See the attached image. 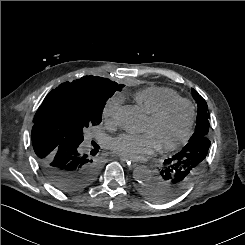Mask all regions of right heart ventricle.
Segmentation results:
<instances>
[{
	"label": "right heart ventricle",
	"mask_w": 245,
	"mask_h": 245,
	"mask_svg": "<svg viewBox=\"0 0 245 245\" xmlns=\"http://www.w3.org/2000/svg\"><path fill=\"white\" fill-rule=\"evenodd\" d=\"M177 98H180V95L176 91L158 86L147 87L135 95L136 101L148 114L155 112L168 101Z\"/></svg>",
	"instance_id": "e07e8e85"
}]
</instances>
